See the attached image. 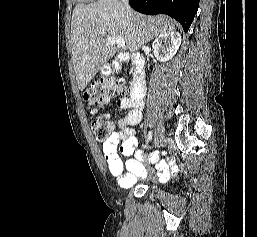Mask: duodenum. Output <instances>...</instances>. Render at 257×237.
Here are the masks:
<instances>
[{
  "label": "duodenum",
  "instance_id": "duodenum-1",
  "mask_svg": "<svg viewBox=\"0 0 257 237\" xmlns=\"http://www.w3.org/2000/svg\"><path fill=\"white\" fill-rule=\"evenodd\" d=\"M122 60H130L134 66L130 97L133 100H142L146 92L145 59L137 53H124L121 57Z\"/></svg>",
  "mask_w": 257,
  "mask_h": 237
}]
</instances>
